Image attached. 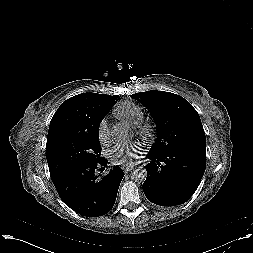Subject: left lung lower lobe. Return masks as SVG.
<instances>
[{
  "label": "left lung lower lobe",
  "instance_id": "1",
  "mask_svg": "<svg viewBox=\"0 0 253 253\" xmlns=\"http://www.w3.org/2000/svg\"><path fill=\"white\" fill-rule=\"evenodd\" d=\"M143 191L160 206L185 203L198 188L206 168V149L180 147L163 154L149 152Z\"/></svg>",
  "mask_w": 253,
  "mask_h": 253
}]
</instances>
